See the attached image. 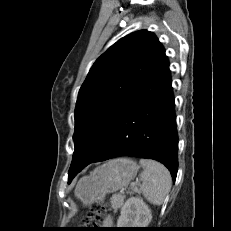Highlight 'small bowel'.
<instances>
[{
	"mask_svg": "<svg viewBox=\"0 0 231 231\" xmlns=\"http://www.w3.org/2000/svg\"><path fill=\"white\" fill-rule=\"evenodd\" d=\"M113 219L111 217L106 218V220L104 221L103 227H104V231H107L106 229H109L113 226Z\"/></svg>",
	"mask_w": 231,
	"mask_h": 231,
	"instance_id": "small-bowel-1",
	"label": "small bowel"
}]
</instances>
